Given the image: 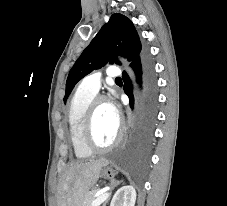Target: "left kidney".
I'll return each mask as SVG.
<instances>
[{
    "label": "left kidney",
    "mask_w": 227,
    "mask_h": 206,
    "mask_svg": "<svg viewBox=\"0 0 227 206\" xmlns=\"http://www.w3.org/2000/svg\"><path fill=\"white\" fill-rule=\"evenodd\" d=\"M136 191L132 185L119 188L114 194L110 206H135Z\"/></svg>",
    "instance_id": "left-kidney-1"
}]
</instances>
